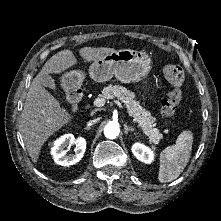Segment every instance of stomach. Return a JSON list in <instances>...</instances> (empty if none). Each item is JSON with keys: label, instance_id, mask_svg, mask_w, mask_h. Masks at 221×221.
Masks as SVG:
<instances>
[{"label": "stomach", "instance_id": "1", "mask_svg": "<svg viewBox=\"0 0 221 221\" xmlns=\"http://www.w3.org/2000/svg\"><path fill=\"white\" fill-rule=\"evenodd\" d=\"M151 68V58L145 51L121 49L94 60L89 67V75L100 83L109 81L113 76L122 83H131L141 81ZM83 79V73L78 70L69 71L63 77L72 86L80 85Z\"/></svg>", "mask_w": 221, "mask_h": 221}]
</instances>
